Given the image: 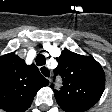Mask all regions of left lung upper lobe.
I'll list each match as a JSON object with an SVG mask.
<instances>
[{
    "instance_id": "1",
    "label": "left lung upper lobe",
    "mask_w": 112,
    "mask_h": 112,
    "mask_svg": "<svg viewBox=\"0 0 112 112\" xmlns=\"http://www.w3.org/2000/svg\"><path fill=\"white\" fill-rule=\"evenodd\" d=\"M58 66L54 71L63 78V86L54 89L58 105L65 112H85L101 97L105 87V73L101 65L90 56H83L69 50L62 51L56 58ZM54 88V85H51Z\"/></svg>"
}]
</instances>
